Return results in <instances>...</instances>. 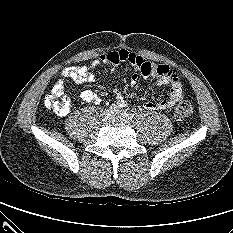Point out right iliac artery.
<instances>
[{
  "label": "right iliac artery",
  "instance_id": "obj_1",
  "mask_svg": "<svg viewBox=\"0 0 233 233\" xmlns=\"http://www.w3.org/2000/svg\"><path fill=\"white\" fill-rule=\"evenodd\" d=\"M117 110V106L115 105V104H112L111 106H110V111L111 112H114V111H116Z\"/></svg>",
  "mask_w": 233,
  "mask_h": 233
}]
</instances>
